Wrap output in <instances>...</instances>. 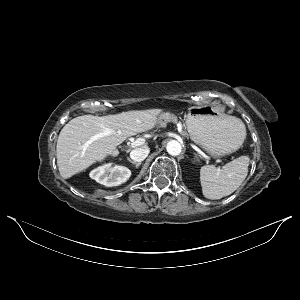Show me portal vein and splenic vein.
<instances>
[{"instance_id": "portal-vein-and-splenic-vein-1", "label": "portal vein and splenic vein", "mask_w": 300, "mask_h": 300, "mask_svg": "<svg viewBox=\"0 0 300 300\" xmlns=\"http://www.w3.org/2000/svg\"><path fill=\"white\" fill-rule=\"evenodd\" d=\"M145 143V139L140 137L130 143V147L135 148Z\"/></svg>"}]
</instances>
